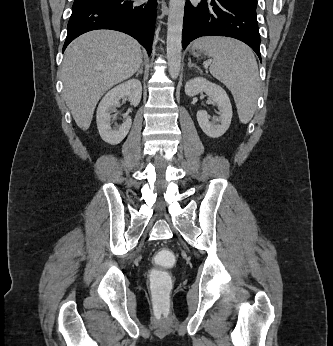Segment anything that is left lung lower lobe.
Returning <instances> with one entry per match:
<instances>
[{"mask_svg": "<svg viewBox=\"0 0 333 346\" xmlns=\"http://www.w3.org/2000/svg\"><path fill=\"white\" fill-rule=\"evenodd\" d=\"M202 36H226L238 39L260 54V35L256 12L232 0L186 2L183 19V49Z\"/></svg>", "mask_w": 333, "mask_h": 346, "instance_id": "obj_1", "label": "left lung lower lobe"}]
</instances>
